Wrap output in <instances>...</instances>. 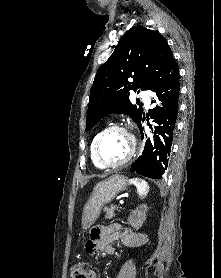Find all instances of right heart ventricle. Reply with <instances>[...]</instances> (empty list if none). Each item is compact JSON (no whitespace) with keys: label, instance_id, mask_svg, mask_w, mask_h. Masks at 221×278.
<instances>
[{"label":"right heart ventricle","instance_id":"obj_1","mask_svg":"<svg viewBox=\"0 0 221 278\" xmlns=\"http://www.w3.org/2000/svg\"><path fill=\"white\" fill-rule=\"evenodd\" d=\"M98 134H99V133H97V134L93 137V139L91 140L89 150H90V157H91V160H92L93 164H94L96 167L102 168V167L96 162V160H95V158H94V153H93L94 142H95V140H96Z\"/></svg>","mask_w":221,"mask_h":278}]
</instances>
